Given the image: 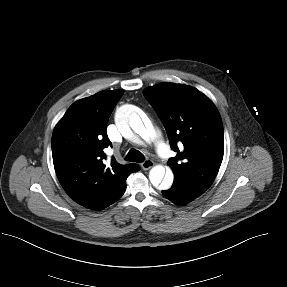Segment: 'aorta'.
Returning a JSON list of instances; mask_svg holds the SVG:
<instances>
[{
  "label": "aorta",
  "instance_id": "762f6f07",
  "mask_svg": "<svg viewBox=\"0 0 287 287\" xmlns=\"http://www.w3.org/2000/svg\"><path fill=\"white\" fill-rule=\"evenodd\" d=\"M116 123L121 129H126L129 124L131 129L143 139H148L149 133L153 132V126L148 117H144L142 120L137 113H131L125 107L117 112ZM149 179L153 186L167 190L171 187L174 176L170 169H167L165 173V168L162 165H156L150 170Z\"/></svg>",
  "mask_w": 287,
  "mask_h": 287
}]
</instances>
